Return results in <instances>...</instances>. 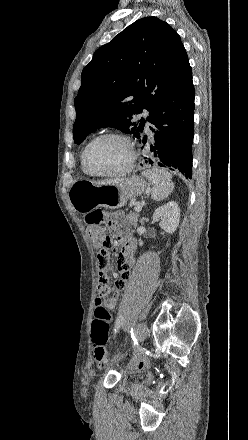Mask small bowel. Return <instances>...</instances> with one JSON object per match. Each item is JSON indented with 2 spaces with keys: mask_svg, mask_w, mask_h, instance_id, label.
<instances>
[{
  "mask_svg": "<svg viewBox=\"0 0 248 440\" xmlns=\"http://www.w3.org/2000/svg\"><path fill=\"white\" fill-rule=\"evenodd\" d=\"M110 223L123 240V250L117 259L114 257L109 259L107 257H100L98 259L99 276L96 278L98 296L95 298V304L102 303L107 309L113 310L117 306L120 290L125 286L126 280L129 278L135 242L130 236L129 228L121 213H114ZM112 276H117L118 278V280L113 282V285L117 287L114 290L110 287L109 283V278ZM110 293L111 296L106 297ZM135 364L143 365V359L139 357Z\"/></svg>",
  "mask_w": 248,
  "mask_h": 440,
  "instance_id": "c3829d8e",
  "label": "small bowel"
}]
</instances>
